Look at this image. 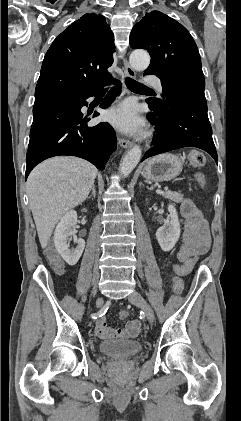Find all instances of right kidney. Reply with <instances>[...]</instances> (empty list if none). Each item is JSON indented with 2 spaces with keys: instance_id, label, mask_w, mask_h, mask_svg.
<instances>
[{
  "instance_id": "ca27d5eb",
  "label": "right kidney",
  "mask_w": 241,
  "mask_h": 421,
  "mask_svg": "<svg viewBox=\"0 0 241 421\" xmlns=\"http://www.w3.org/2000/svg\"><path fill=\"white\" fill-rule=\"evenodd\" d=\"M83 211H87L83 209ZM77 223V213L74 210L67 212L56 226L54 232V245L57 252L70 266H74L80 259L85 248V241L82 238H77L74 235V227ZM77 244L75 249L69 248V243L72 239Z\"/></svg>"
}]
</instances>
